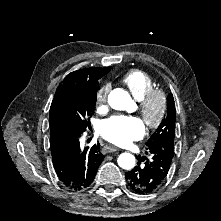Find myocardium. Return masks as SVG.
<instances>
[{
  "label": "myocardium",
  "mask_w": 221,
  "mask_h": 221,
  "mask_svg": "<svg viewBox=\"0 0 221 221\" xmlns=\"http://www.w3.org/2000/svg\"><path fill=\"white\" fill-rule=\"evenodd\" d=\"M139 113L149 130L158 129L167 113V98L160 89L150 90L139 102Z\"/></svg>",
  "instance_id": "myocardium-1"
}]
</instances>
